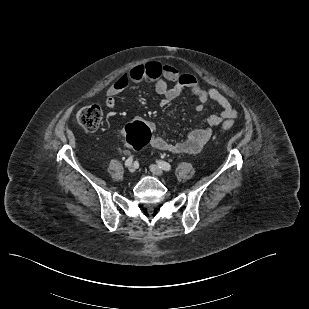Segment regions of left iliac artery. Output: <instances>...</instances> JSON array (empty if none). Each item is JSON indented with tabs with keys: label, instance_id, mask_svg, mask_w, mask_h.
I'll list each match as a JSON object with an SVG mask.
<instances>
[{
	"label": "left iliac artery",
	"instance_id": "44dca946",
	"mask_svg": "<svg viewBox=\"0 0 309 309\" xmlns=\"http://www.w3.org/2000/svg\"><path fill=\"white\" fill-rule=\"evenodd\" d=\"M157 163H158V166L160 168H162L163 170H165V171L171 170V165L168 162L159 160V161H157Z\"/></svg>",
	"mask_w": 309,
	"mask_h": 309
}]
</instances>
